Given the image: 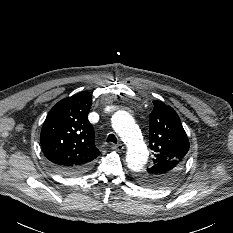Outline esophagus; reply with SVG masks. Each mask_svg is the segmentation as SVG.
Here are the masks:
<instances>
[{
	"label": "esophagus",
	"instance_id": "1",
	"mask_svg": "<svg viewBox=\"0 0 233 233\" xmlns=\"http://www.w3.org/2000/svg\"><path fill=\"white\" fill-rule=\"evenodd\" d=\"M111 146H112L113 149L118 150V151L124 149V146H123L122 143L112 144Z\"/></svg>",
	"mask_w": 233,
	"mask_h": 233
}]
</instances>
